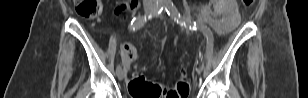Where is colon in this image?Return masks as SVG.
I'll return each mask as SVG.
<instances>
[{
	"mask_svg": "<svg viewBox=\"0 0 308 98\" xmlns=\"http://www.w3.org/2000/svg\"><path fill=\"white\" fill-rule=\"evenodd\" d=\"M254 1L243 0V3L246 7H250ZM134 3L135 1H131L130 6ZM127 6L128 4L125 2L119 3L115 8L116 13L124 11ZM75 10L78 15L85 19H94L102 13V4L99 0H76ZM121 28L123 29L124 27L122 26ZM121 49L126 61L136 59V55L130 44L123 43ZM129 89L135 98H185L189 92V80L186 73L182 72L172 90H162L159 85L145 79L141 71L136 69L133 73L132 80L129 82Z\"/></svg>",
	"mask_w": 308,
	"mask_h": 98,
	"instance_id": "colon-1",
	"label": "colon"
}]
</instances>
